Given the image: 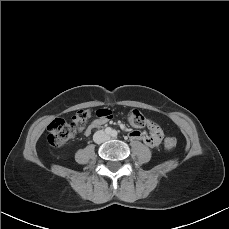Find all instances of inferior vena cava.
<instances>
[{
  "label": "inferior vena cava",
  "instance_id": "inferior-vena-cava-1",
  "mask_svg": "<svg viewBox=\"0 0 229 229\" xmlns=\"http://www.w3.org/2000/svg\"><path fill=\"white\" fill-rule=\"evenodd\" d=\"M108 139H109V136L103 130H99L95 132L93 135V140L97 144L103 143L107 141Z\"/></svg>",
  "mask_w": 229,
  "mask_h": 229
}]
</instances>
